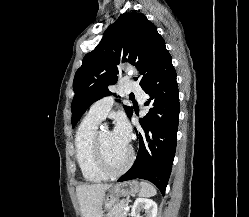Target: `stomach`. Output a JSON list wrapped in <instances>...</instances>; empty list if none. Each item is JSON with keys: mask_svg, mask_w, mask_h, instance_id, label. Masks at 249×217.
I'll list each match as a JSON object with an SVG mask.
<instances>
[{"mask_svg": "<svg viewBox=\"0 0 249 217\" xmlns=\"http://www.w3.org/2000/svg\"><path fill=\"white\" fill-rule=\"evenodd\" d=\"M140 191V184L136 180L126 181L111 186L108 194L103 199L105 210H110L120 198L137 194Z\"/></svg>", "mask_w": 249, "mask_h": 217, "instance_id": "1", "label": "stomach"}]
</instances>
